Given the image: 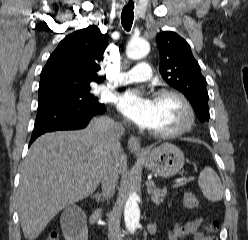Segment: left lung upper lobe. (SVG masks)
Wrapping results in <instances>:
<instances>
[{"label":"left lung upper lobe","mask_w":248,"mask_h":240,"mask_svg":"<svg viewBox=\"0 0 248 240\" xmlns=\"http://www.w3.org/2000/svg\"><path fill=\"white\" fill-rule=\"evenodd\" d=\"M156 42L160 51L159 71L162 78L186 96L200 121H208L207 83L189 44L171 31L159 33Z\"/></svg>","instance_id":"5c2ea615"}]
</instances>
